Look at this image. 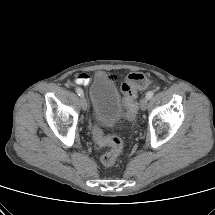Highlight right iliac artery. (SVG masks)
I'll return each instance as SVG.
<instances>
[{
    "instance_id": "right-iliac-artery-1",
    "label": "right iliac artery",
    "mask_w": 215,
    "mask_h": 215,
    "mask_svg": "<svg viewBox=\"0 0 215 215\" xmlns=\"http://www.w3.org/2000/svg\"><path fill=\"white\" fill-rule=\"evenodd\" d=\"M76 92L79 96H83V91L80 88H77Z\"/></svg>"
}]
</instances>
